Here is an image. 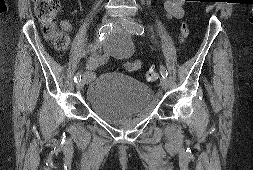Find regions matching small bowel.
I'll return each mask as SVG.
<instances>
[{
	"label": "small bowel",
	"mask_w": 253,
	"mask_h": 170,
	"mask_svg": "<svg viewBox=\"0 0 253 170\" xmlns=\"http://www.w3.org/2000/svg\"><path fill=\"white\" fill-rule=\"evenodd\" d=\"M184 2L185 0H165L164 10H165L166 16L169 19H181L184 15V10H183ZM62 27L66 31H70L71 29V25L68 21H63ZM109 57H110V53L106 52L103 54H100V53L93 54L87 59L86 72H88L89 74V80L93 77L94 70L100 65L104 64ZM140 66L141 65L138 60H130V61L125 62V68L128 71H138L140 69Z\"/></svg>",
	"instance_id": "obj_1"
}]
</instances>
